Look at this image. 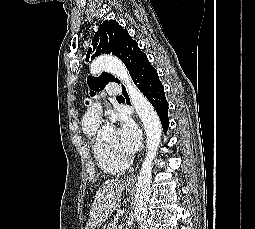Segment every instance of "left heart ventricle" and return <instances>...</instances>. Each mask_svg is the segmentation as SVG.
Masks as SVG:
<instances>
[{"label": "left heart ventricle", "mask_w": 255, "mask_h": 229, "mask_svg": "<svg viewBox=\"0 0 255 229\" xmlns=\"http://www.w3.org/2000/svg\"><path fill=\"white\" fill-rule=\"evenodd\" d=\"M107 146H109L112 149L121 150L119 140L117 137L113 138L110 142H108Z\"/></svg>", "instance_id": "1"}]
</instances>
